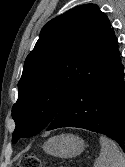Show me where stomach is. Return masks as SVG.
I'll use <instances>...</instances> for the list:
<instances>
[{
	"label": "stomach",
	"mask_w": 125,
	"mask_h": 167,
	"mask_svg": "<svg viewBox=\"0 0 125 167\" xmlns=\"http://www.w3.org/2000/svg\"><path fill=\"white\" fill-rule=\"evenodd\" d=\"M84 140L73 134H61L48 139L43 149L48 154L60 158H72L83 152Z\"/></svg>",
	"instance_id": "obj_1"
}]
</instances>
